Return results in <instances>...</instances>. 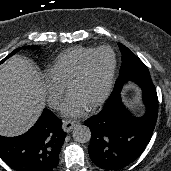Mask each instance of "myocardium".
I'll use <instances>...</instances> for the list:
<instances>
[{
    "label": "myocardium",
    "mask_w": 171,
    "mask_h": 171,
    "mask_svg": "<svg viewBox=\"0 0 171 171\" xmlns=\"http://www.w3.org/2000/svg\"><path fill=\"white\" fill-rule=\"evenodd\" d=\"M101 51H108L111 53L112 67H111V71H110V75H109V78L107 81L106 88H105L102 96L90 107L91 110H94V109L100 107L108 99V97L111 94V91H112V88L114 85L115 76H116V71H117V55L114 52V50L109 46H101V47L94 49L82 61V63L79 65V67L77 68V70L75 71V73L73 74V76L71 77V79L68 83V90H70L71 86L82 77V75L84 74L85 69H86L87 65L89 64V62L91 61V59Z\"/></svg>",
    "instance_id": "obj_1"
}]
</instances>
